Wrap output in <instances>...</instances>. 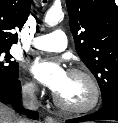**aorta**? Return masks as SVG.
Listing matches in <instances>:
<instances>
[{"label":"aorta","mask_w":118,"mask_h":123,"mask_svg":"<svg viewBox=\"0 0 118 123\" xmlns=\"http://www.w3.org/2000/svg\"><path fill=\"white\" fill-rule=\"evenodd\" d=\"M63 17L64 13L61 8L52 7L47 11L44 22L48 26H55L63 19Z\"/></svg>","instance_id":"762f6f07"}]
</instances>
